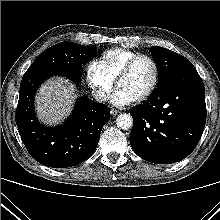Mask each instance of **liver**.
<instances>
[{
  "instance_id": "obj_1",
  "label": "liver",
  "mask_w": 220,
  "mask_h": 220,
  "mask_svg": "<svg viewBox=\"0 0 220 220\" xmlns=\"http://www.w3.org/2000/svg\"><path fill=\"white\" fill-rule=\"evenodd\" d=\"M75 86L63 78H52L41 85L36 95L39 119L47 125L60 123L72 110Z\"/></svg>"
}]
</instances>
